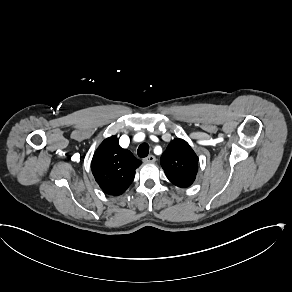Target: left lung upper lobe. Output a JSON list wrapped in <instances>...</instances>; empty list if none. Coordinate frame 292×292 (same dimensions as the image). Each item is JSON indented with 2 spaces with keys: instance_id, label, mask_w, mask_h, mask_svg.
Returning a JSON list of instances; mask_svg holds the SVG:
<instances>
[{
  "instance_id": "obj_1",
  "label": "left lung upper lobe",
  "mask_w": 292,
  "mask_h": 292,
  "mask_svg": "<svg viewBox=\"0 0 292 292\" xmlns=\"http://www.w3.org/2000/svg\"><path fill=\"white\" fill-rule=\"evenodd\" d=\"M161 166L167 178L176 186H191L198 171V157L182 139L171 141L161 156Z\"/></svg>"
}]
</instances>
